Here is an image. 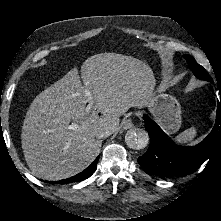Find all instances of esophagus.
<instances>
[{
	"mask_svg": "<svg viewBox=\"0 0 221 221\" xmlns=\"http://www.w3.org/2000/svg\"><path fill=\"white\" fill-rule=\"evenodd\" d=\"M122 125L124 130H128L134 126L131 118L124 119Z\"/></svg>",
	"mask_w": 221,
	"mask_h": 221,
	"instance_id": "esophagus-1",
	"label": "esophagus"
}]
</instances>
